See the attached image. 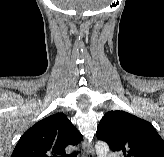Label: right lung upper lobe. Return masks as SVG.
<instances>
[{"mask_svg":"<svg viewBox=\"0 0 164 157\" xmlns=\"http://www.w3.org/2000/svg\"><path fill=\"white\" fill-rule=\"evenodd\" d=\"M82 138L64 113L53 114L22 135L11 157H67L65 148Z\"/></svg>","mask_w":164,"mask_h":157,"instance_id":"right-lung-upper-lobe-1","label":"right lung upper lobe"}]
</instances>
